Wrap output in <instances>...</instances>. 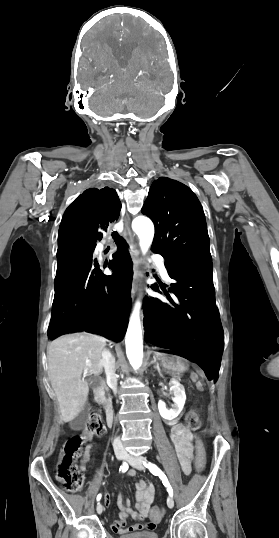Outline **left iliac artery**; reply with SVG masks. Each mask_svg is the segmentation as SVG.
Listing matches in <instances>:
<instances>
[{
	"label": "left iliac artery",
	"instance_id": "left-iliac-artery-1",
	"mask_svg": "<svg viewBox=\"0 0 279 538\" xmlns=\"http://www.w3.org/2000/svg\"><path fill=\"white\" fill-rule=\"evenodd\" d=\"M143 464H144V466L146 468L149 469V471L153 475L159 476V478L162 480L164 486L167 488V491H168L169 495L173 496V489L170 486V483H169L166 475L164 474V472L160 468H158L155 464H153L151 462H144Z\"/></svg>",
	"mask_w": 279,
	"mask_h": 538
}]
</instances>
